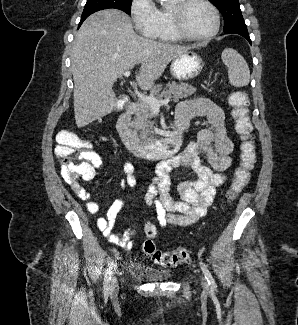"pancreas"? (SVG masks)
I'll list each match as a JSON object with an SVG mask.
<instances>
[{"instance_id":"pancreas-1","label":"pancreas","mask_w":298,"mask_h":325,"mask_svg":"<svg viewBox=\"0 0 298 325\" xmlns=\"http://www.w3.org/2000/svg\"><path fill=\"white\" fill-rule=\"evenodd\" d=\"M197 88L193 84H188V82H167L166 86L163 84H157L155 88H151V94H156V98L163 100V98H172L173 102H179L180 98L184 96H191L196 92ZM136 112L131 126L135 130L137 136L142 138V140H148V138H156L155 132L153 130L155 120H151L154 116V112L146 102H141L137 100L136 102Z\"/></svg>"}]
</instances>
